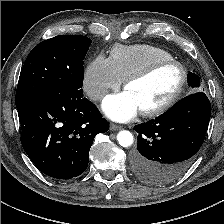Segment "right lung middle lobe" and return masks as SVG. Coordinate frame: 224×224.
<instances>
[{"instance_id": "dd1d6c3e", "label": "right lung middle lobe", "mask_w": 224, "mask_h": 224, "mask_svg": "<svg viewBox=\"0 0 224 224\" xmlns=\"http://www.w3.org/2000/svg\"><path fill=\"white\" fill-rule=\"evenodd\" d=\"M90 44L85 36L59 35L35 46L20 73L16 107L45 92L83 96V59Z\"/></svg>"}]
</instances>
